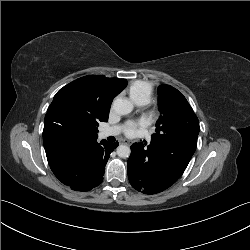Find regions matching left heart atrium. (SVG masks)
<instances>
[{
  "label": "left heart atrium",
  "mask_w": 250,
  "mask_h": 250,
  "mask_svg": "<svg viewBox=\"0 0 250 250\" xmlns=\"http://www.w3.org/2000/svg\"><path fill=\"white\" fill-rule=\"evenodd\" d=\"M137 126H138L137 123L129 122V123L126 125V129H125L126 134L129 135V136L134 135V133H135V131H136V129H137Z\"/></svg>",
  "instance_id": "39dd6f15"
}]
</instances>
